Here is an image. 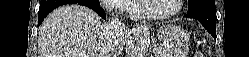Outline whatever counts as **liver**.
I'll return each instance as SVG.
<instances>
[{"label": "liver", "mask_w": 249, "mask_h": 57, "mask_svg": "<svg viewBox=\"0 0 249 57\" xmlns=\"http://www.w3.org/2000/svg\"><path fill=\"white\" fill-rule=\"evenodd\" d=\"M149 25L132 29L101 22L93 10L63 5L52 11L39 28V57H145L150 45ZM89 55V56H87Z\"/></svg>", "instance_id": "1"}]
</instances>
